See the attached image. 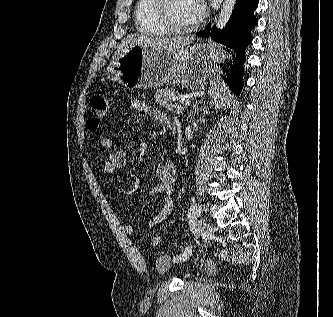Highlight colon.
<instances>
[{
	"label": "colon",
	"mask_w": 333,
	"mask_h": 317,
	"mask_svg": "<svg viewBox=\"0 0 333 317\" xmlns=\"http://www.w3.org/2000/svg\"><path fill=\"white\" fill-rule=\"evenodd\" d=\"M89 107L87 126L91 132H96L107 115L109 109L108 100L103 96H93L90 99ZM151 244L152 246H158L160 244V237L157 235L153 236Z\"/></svg>",
	"instance_id": "colon-1"
}]
</instances>
